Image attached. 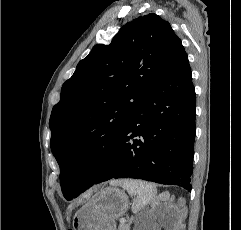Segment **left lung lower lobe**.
I'll return each mask as SVG.
<instances>
[{"label":"left lung lower lobe","mask_w":241,"mask_h":230,"mask_svg":"<svg viewBox=\"0 0 241 230\" xmlns=\"http://www.w3.org/2000/svg\"><path fill=\"white\" fill-rule=\"evenodd\" d=\"M196 95L187 54L138 104L126 129L99 141L74 165L78 195L112 178H138L191 191Z\"/></svg>","instance_id":"left-lung-lower-lobe-1"}]
</instances>
